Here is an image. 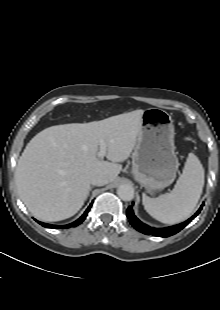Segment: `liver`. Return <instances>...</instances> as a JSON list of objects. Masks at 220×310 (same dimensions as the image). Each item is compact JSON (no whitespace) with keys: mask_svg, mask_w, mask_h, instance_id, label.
Masks as SVG:
<instances>
[{"mask_svg":"<svg viewBox=\"0 0 220 310\" xmlns=\"http://www.w3.org/2000/svg\"><path fill=\"white\" fill-rule=\"evenodd\" d=\"M144 110L89 123L48 127L35 135L20 156L15 181L20 198L31 214L43 221L75 215L87 198L97 174L113 182L129 158L141 130ZM100 141L107 145L104 161Z\"/></svg>","mask_w":220,"mask_h":310,"instance_id":"obj_1","label":"liver"}]
</instances>
